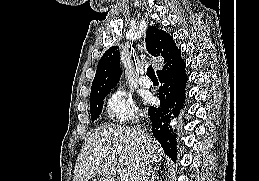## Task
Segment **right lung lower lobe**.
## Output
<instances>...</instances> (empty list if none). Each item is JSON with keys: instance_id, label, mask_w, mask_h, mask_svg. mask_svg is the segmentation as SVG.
Here are the masks:
<instances>
[{"instance_id": "1", "label": "right lung lower lobe", "mask_w": 259, "mask_h": 181, "mask_svg": "<svg viewBox=\"0 0 259 181\" xmlns=\"http://www.w3.org/2000/svg\"><path fill=\"white\" fill-rule=\"evenodd\" d=\"M181 53L169 59L162 70L157 71L161 87L159 90L160 106L149 107L148 114L152 122L153 136L159 141L166 155L175 160L177 157L176 134H172L169 122L177 117L183 108L187 75Z\"/></svg>"}]
</instances>
